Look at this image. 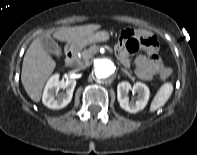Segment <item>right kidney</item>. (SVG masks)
<instances>
[{"instance_id":"1","label":"right kidney","mask_w":197,"mask_h":155,"mask_svg":"<svg viewBox=\"0 0 197 155\" xmlns=\"http://www.w3.org/2000/svg\"><path fill=\"white\" fill-rule=\"evenodd\" d=\"M75 86V80H59V74L51 76L43 92V104L50 109H61L67 106L72 100ZM60 88L66 91L58 95Z\"/></svg>"}]
</instances>
